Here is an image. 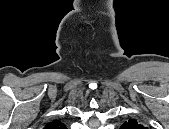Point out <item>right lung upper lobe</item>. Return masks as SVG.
<instances>
[{
	"label": "right lung upper lobe",
	"instance_id": "cb5924a9",
	"mask_svg": "<svg viewBox=\"0 0 169 129\" xmlns=\"http://www.w3.org/2000/svg\"><path fill=\"white\" fill-rule=\"evenodd\" d=\"M47 129H64L65 125L59 121V120H54L46 125Z\"/></svg>",
	"mask_w": 169,
	"mask_h": 129
}]
</instances>
